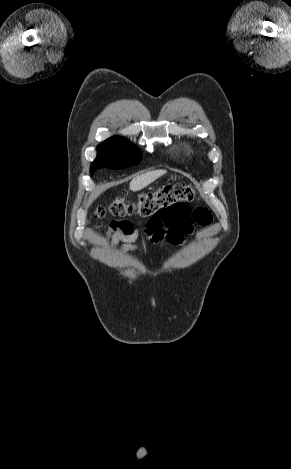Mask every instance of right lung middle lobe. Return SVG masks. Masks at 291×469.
<instances>
[{"label":"right lung middle lobe","mask_w":291,"mask_h":469,"mask_svg":"<svg viewBox=\"0 0 291 469\" xmlns=\"http://www.w3.org/2000/svg\"><path fill=\"white\" fill-rule=\"evenodd\" d=\"M141 152L128 140L112 137L97 147V157L90 167L91 176L99 168L122 169L139 162Z\"/></svg>","instance_id":"right-lung-middle-lobe-1"}]
</instances>
